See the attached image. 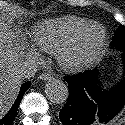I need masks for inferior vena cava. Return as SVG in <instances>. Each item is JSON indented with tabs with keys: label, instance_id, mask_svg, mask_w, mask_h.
<instances>
[{
	"label": "inferior vena cava",
	"instance_id": "1",
	"mask_svg": "<svg viewBox=\"0 0 125 125\" xmlns=\"http://www.w3.org/2000/svg\"><path fill=\"white\" fill-rule=\"evenodd\" d=\"M37 71V65L35 63L29 62L27 65H23L20 68V77L31 78L35 75Z\"/></svg>",
	"mask_w": 125,
	"mask_h": 125
}]
</instances>
